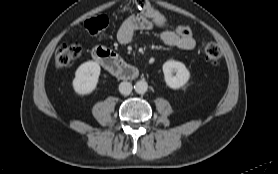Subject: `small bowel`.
<instances>
[{
    "label": "small bowel",
    "instance_id": "small-bowel-1",
    "mask_svg": "<svg viewBox=\"0 0 278 174\" xmlns=\"http://www.w3.org/2000/svg\"><path fill=\"white\" fill-rule=\"evenodd\" d=\"M154 25V22L145 14L132 15L120 26L117 33V39L121 44H129L133 41L137 32L150 30ZM159 38L166 45L184 51L193 50L196 46V41L193 37H180L168 29L160 32Z\"/></svg>",
    "mask_w": 278,
    "mask_h": 174
}]
</instances>
